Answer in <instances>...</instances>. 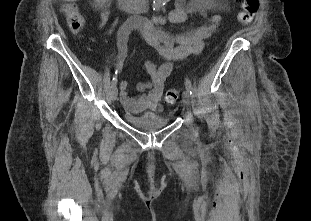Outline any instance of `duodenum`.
<instances>
[{
  "label": "duodenum",
  "instance_id": "1",
  "mask_svg": "<svg viewBox=\"0 0 311 221\" xmlns=\"http://www.w3.org/2000/svg\"><path fill=\"white\" fill-rule=\"evenodd\" d=\"M121 10L144 11L149 9L151 0H117ZM148 21L138 20L131 23L135 29L147 26Z\"/></svg>",
  "mask_w": 311,
  "mask_h": 221
}]
</instances>
